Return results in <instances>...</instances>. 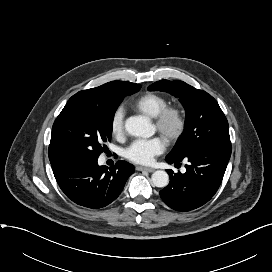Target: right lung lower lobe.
Listing matches in <instances>:
<instances>
[{"instance_id": "98d812e1", "label": "right lung lower lobe", "mask_w": 272, "mask_h": 272, "mask_svg": "<svg viewBox=\"0 0 272 272\" xmlns=\"http://www.w3.org/2000/svg\"><path fill=\"white\" fill-rule=\"evenodd\" d=\"M98 158L68 161L53 168L55 179L64 194L78 205L98 209L113 202L121 193L133 165L118 161L108 168L98 166Z\"/></svg>"}]
</instances>
